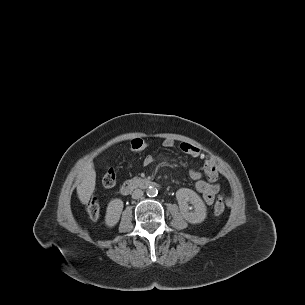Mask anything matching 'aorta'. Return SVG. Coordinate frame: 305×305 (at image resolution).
I'll return each mask as SVG.
<instances>
[{
    "label": "aorta",
    "mask_w": 305,
    "mask_h": 305,
    "mask_svg": "<svg viewBox=\"0 0 305 305\" xmlns=\"http://www.w3.org/2000/svg\"><path fill=\"white\" fill-rule=\"evenodd\" d=\"M146 193L149 197H155L158 194V190L154 186H149L146 190Z\"/></svg>",
    "instance_id": "obj_1"
}]
</instances>
